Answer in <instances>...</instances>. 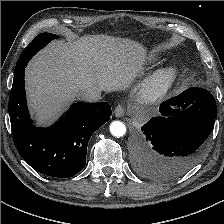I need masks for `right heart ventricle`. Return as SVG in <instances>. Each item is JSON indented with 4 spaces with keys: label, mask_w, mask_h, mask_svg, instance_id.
I'll return each instance as SVG.
<instances>
[{
    "label": "right heart ventricle",
    "mask_w": 224,
    "mask_h": 224,
    "mask_svg": "<svg viewBox=\"0 0 224 224\" xmlns=\"http://www.w3.org/2000/svg\"><path fill=\"white\" fill-rule=\"evenodd\" d=\"M155 59H156L155 56H152V57L150 58L151 61H154Z\"/></svg>",
    "instance_id": "right-heart-ventricle-1"
}]
</instances>
